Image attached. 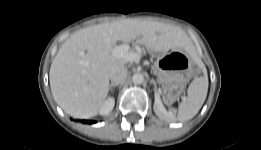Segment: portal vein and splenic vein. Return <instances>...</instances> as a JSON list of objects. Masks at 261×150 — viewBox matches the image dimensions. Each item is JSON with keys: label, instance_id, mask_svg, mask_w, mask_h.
I'll return each mask as SVG.
<instances>
[{"label": "portal vein and splenic vein", "instance_id": "obj_1", "mask_svg": "<svg viewBox=\"0 0 261 150\" xmlns=\"http://www.w3.org/2000/svg\"><path fill=\"white\" fill-rule=\"evenodd\" d=\"M129 49L130 47L127 44L115 46L112 49V54L118 58L125 59L128 62L139 61L140 55L135 52H129Z\"/></svg>", "mask_w": 261, "mask_h": 150}]
</instances>
